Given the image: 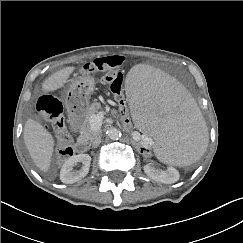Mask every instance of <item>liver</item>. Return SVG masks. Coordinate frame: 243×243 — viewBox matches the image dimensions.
<instances>
[{
	"instance_id": "6515ba94",
	"label": "liver",
	"mask_w": 243,
	"mask_h": 243,
	"mask_svg": "<svg viewBox=\"0 0 243 243\" xmlns=\"http://www.w3.org/2000/svg\"><path fill=\"white\" fill-rule=\"evenodd\" d=\"M75 67H66L55 72L42 84L43 92H53L68 81ZM24 142L35 165L43 172L50 168L54 152V139L52 135L39 122L29 118L24 126Z\"/></svg>"
}]
</instances>
